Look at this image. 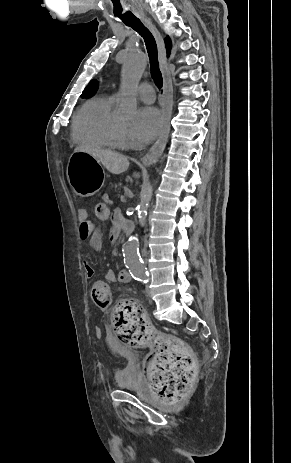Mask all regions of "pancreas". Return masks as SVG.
Listing matches in <instances>:
<instances>
[{"label":"pancreas","instance_id":"obj_1","mask_svg":"<svg viewBox=\"0 0 291 463\" xmlns=\"http://www.w3.org/2000/svg\"><path fill=\"white\" fill-rule=\"evenodd\" d=\"M108 192L119 197L121 193V183H110Z\"/></svg>","mask_w":291,"mask_h":463}]
</instances>
